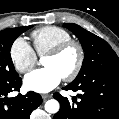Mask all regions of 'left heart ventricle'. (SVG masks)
Segmentation results:
<instances>
[{"label":"left heart ventricle","instance_id":"b2bd125f","mask_svg":"<svg viewBox=\"0 0 119 119\" xmlns=\"http://www.w3.org/2000/svg\"><path fill=\"white\" fill-rule=\"evenodd\" d=\"M77 58L76 49L70 48L60 56H46L43 60V66L56 69L63 77L73 70Z\"/></svg>","mask_w":119,"mask_h":119}]
</instances>
